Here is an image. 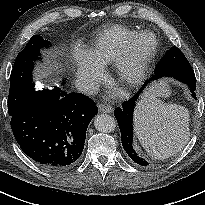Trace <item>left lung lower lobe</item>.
<instances>
[{
    "instance_id": "0a47b994",
    "label": "left lung lower lobe",
    "mask_w": 205,
    "mask_h": 205,
    "mask_svg": "<svg viewBox=\"0 0 205 205\" xmlns=\"http://www.w3.org/2000/svg\"><path fill=\"white\" fill-rule=\"evenodd\" d=\"M161 77H173L188 85L192 96L196 99L195 89H196V78L192 68L189 69H177L165 72L163 74H155L149 81L143 85V87L128 101L122 104L121 108H117L114 111V115L117 119L118 125L121 131V140L124 150L127 152L129 157L141 166H147L149 163L139 157L132 146L133 142V112L135 108V103L138 100L139 95L145 88V86L153 80H157Z\"/></svg>"
}]
</instances>
